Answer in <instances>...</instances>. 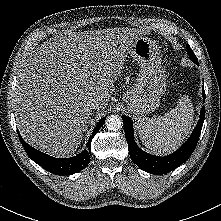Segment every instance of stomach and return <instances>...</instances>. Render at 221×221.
I'll return each mask as SVG.
<instances>
[{
    "label": "stomach",
    "instance_id": "1",
    "mask_svg": "<svg viewBox=\"0 0 221 221\" xmlns=\"http://www.w3.org/2000/svg\"><path fill=\"white\" fill-rule=\"evenodd\" d=\"M130 54L140 71L136 83L124 95L123 101L134 116L154 112L166 91V75L161 65V54L156 42L148 37L136 39Z\"/></svg>",
    "mask_w": 221,
    "mask_h": 221
}]
</instances>
